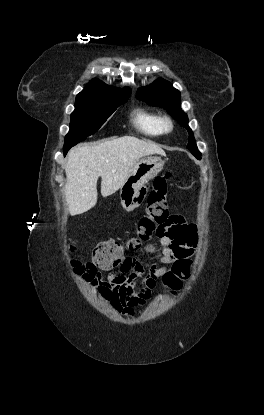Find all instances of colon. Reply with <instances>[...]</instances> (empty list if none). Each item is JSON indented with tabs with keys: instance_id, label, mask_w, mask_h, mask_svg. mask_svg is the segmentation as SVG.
I'll return each instance as SVG.
<instances>
[{
	"instance_id": "colon-1",
	"label": "colon",
	"mask_w": 264,
	"mask_h": 415,
	"mask_svg": "<svg viewBox=\"0 0 264 415\" xmlns=\"http://www.w3.org/2000/svg\"><path fill=\"white\" fill-rule=\"evenodd\" d=\"M171 173L167 172L157 177L155 189L148 198L146 213L136 225V237H126L123 240L109 239L96 245L92 257L87 262L72 259V267L77 271H88L96 274L117 267L126 260L128 252L135 251L139 244L149 240L153 235L163 237L172 232V217L168 213V185ZM189 264L177 261L172 269L163 277L165 289L174 294L182 285V276L187 272ZM128 290L121 288L115 295V301H123Z\"/></svg>"
}]
</instances>
